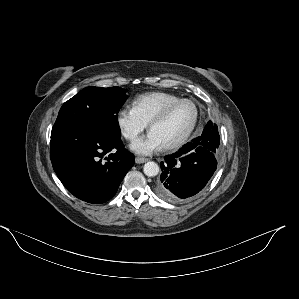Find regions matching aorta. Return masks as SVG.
I'll use <instances>...</instances> for the list:
<instances>
[{"mask_svg":"<svg viewBox=\"0 0 299 299\" xmlns=\"http://www.w3.org/2000/svg\"><path fill=\"white\" fill-rule=\"evenodd\" d=\"M144 174L148 177L156 176L159 173V166L153 161L145 163L143 167Z\"/></svg>","mask_w":299,"mask_h":299,"instance_id":"762f6f07","label":"aorta"}]
</instances>
